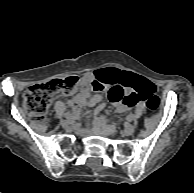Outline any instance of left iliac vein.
<instances>
[{
  "label": "left iliac vein",
  "instance_id": "1",
  "mask_svg": "<svg viewBox=\"0 0 194 193\" xmlns=\"http://www.w3.org/2000/svg\"><path fill=\"white\" fill-rule=\"evenodd\" d=\"M134 132H135V125H132V124L127 125L123 130V134L126 136L132 135Z\"/></svg>",
  "mask_w": 194,
  "mask_h": 193
}]
</instances>
